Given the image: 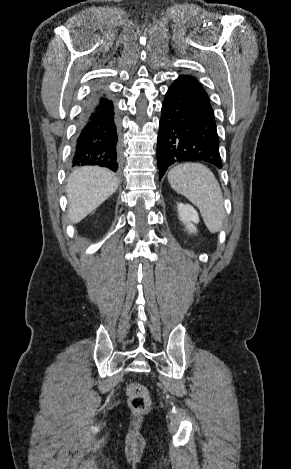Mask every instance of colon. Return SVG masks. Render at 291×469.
I'll return each mask as SVG.
<instances>
[{"instance_id":"1","label":"colon","mask_w":291,"mask_h":469,"mask_svg":"<svg viewBox=\"0 0 291 469\" xmlns=\"http://www.w3.org/2000/svg\"><path fill=\"white\" fill-rule=\"evenodd\" d=\"M128 404L134 411L141 412L150 406V395L147 388L139 383H130L126 389Z\"/></svg>"}]
</instances>
